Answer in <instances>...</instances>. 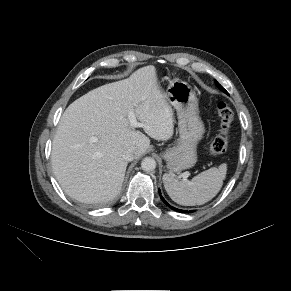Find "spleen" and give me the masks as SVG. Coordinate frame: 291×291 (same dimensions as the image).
<instances>
[{"mask_svg":"<svg viewBox=\"0 0 291 291\" xmlns=\"http://www.w3.org/2000/svg\"><path fill=\"white\" fill-rule=\"evenodd\" d=\"M227 165L212 167L188 181H179L172 174L163 175V183L169 197L184 206L202 205L214 198L221 190Z\"/></svg>","mask_w":291,"mask_h":291,"instance_id":"1","label":"spleen"}]
</instances>
